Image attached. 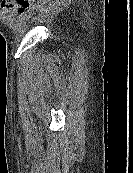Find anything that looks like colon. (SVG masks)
<instances>
[{
  "label": "colon",
  "instance_id": "1",
  "mask_svg": "<svg viewBox=\"0 0 133 173\" xmlns=\"http://www.w3.org/2000/svg\"><path fill=\"white\" fill-rule=\"evenodd\" d=\"M29 4V0H2L0 1V5L2 9H6L8 12L10 11H22Z\"/></svg>",
  "mask_w": 133,
  "mask_h": 173
}]
</instances>
